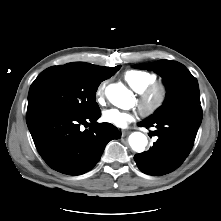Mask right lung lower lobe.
I'll return each mask as SVG.
<instances>
[{
  "mask_svg": "<svg viewBox=\"0 0 221 221\" xmlns=\"http://www.w3.org/2000/svg\"><path fill=\"white\" fill-rule=\"evenodd\" d=\"M100 109L90 114L42 108L27 110L26 121L35 146L54 170L81 175L99 161L105 146L121 137L110 123H97ZM82 125L89 129L82 131Z\"/></svg>",
  "mask_w": 221,
  "mask_h": 221,
  "instance_id": "obj_1",
  "label": "right lung lower lobe"
}]
</instances>
